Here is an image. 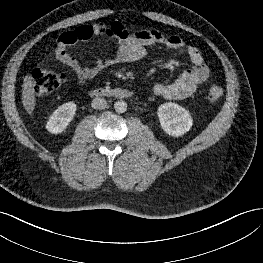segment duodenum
<instances>
[{
  "label": "duodenum",
  "mask_w": 263,
  "mask_h": 263,
  "mask_svg": "<svg viewBox=\"0 0 263 263\" xmlns=\"http://www.w3.org/2000/svg\"><path fill=\"white\" fill-rule=\"evenodd\" d=\"M92 97H114V98H130L133 92L123 88H106L99 87L91 90Z\"/></svg>",
  "instance_id": "1"
}]
</instances>
